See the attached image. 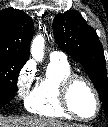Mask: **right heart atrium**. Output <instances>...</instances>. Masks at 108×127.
<instances>
[{
  "label": "right heart atrium",
  "instance_id": "1",
  "mask_svg": "<svg viewBox=\"0 0 108 127\" xmlns=\"http://www.w3.org/2000/svg\"><path fill=\"white\" fill-rule=\"evenodd\" d=\"M35 77V69L31 62H27L20 69L17 79V95L21 99H27L29 89L31 88Z\"/></svg>",
  "mask_w": 108,
  "mask_h": 127
}]
</instances>
